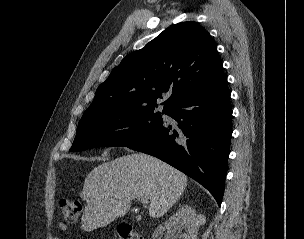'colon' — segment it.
Masks as SVG:
<instances>
[{"mask_svg": "<svg viewBox=\"0 0 304 239\" xmlns=\"http://www.w3.org/2000/svg\"><path fill=\"white\" fill-rule=\"evenodd\" d=\"M59 207L63 217L67 221H75L81 213V204L79 201L69 198H62L59 201ZM117 239H143L142 236L135 232L129 224H121L115 232Z\"/></svg>", "mask_w": 304, "mask_h": 239, "instance_id": "1", "label": "colon"}]
</instances>
